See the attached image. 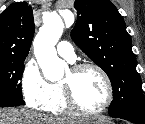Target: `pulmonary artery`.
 Returning <instances> with one entry per match:
<instances>
[{
	"instance_id": "pulmonary-artery-1",
	"label": "pulmonary artery",
	"mask_w": 145,
	"mask_h": 124,
	"mask_svg": "<svg viewBox=\"0 0 145 124\" xmlns=\"http://www.w3.org/2000/svg\"><path fill=\"white\" fill-rule=\"evenodd\" d=\"M57 52L61 57L65 58L66 60L70 62L75 61V51L73 46L69 42L61 41L57 45Z\"/></svg>"
}]
</instances>
